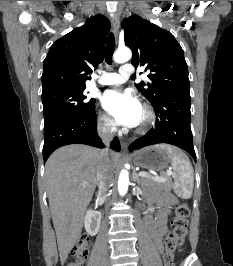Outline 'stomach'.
<instances>
[{
    "label": "stomach",
    "instance_id": "obj_1",
    "mask_svg": "<svg viewBox=\"0 0 233 266\" xmlns=\"http://www.w3.org/2000/svg\"><path fill=\"white\" fill-rule=\"evenodd\" d=\"M133 164L153 172H164V168L171 162L169 153L156 146L146 147L132 156Z\"/></svg>",
    "mask_w": 233,
    "mask_h": 266
}]
</instances>
